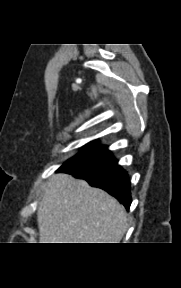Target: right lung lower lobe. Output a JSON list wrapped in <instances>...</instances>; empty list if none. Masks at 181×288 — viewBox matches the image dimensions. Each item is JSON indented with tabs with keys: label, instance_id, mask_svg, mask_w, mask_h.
<instances>
[{
	"label": "right lung lower lobe",
	"instance_id": "right-lung-lower-lobe-1",
	"mask_svg": "<svg viewBox=\"0 0 181 288\" xmlns=\"http://www.w3.org/2000/svg\"><path fill=\"white\" fill-rule=\"evenodd\" d=\"M117 160L88 162L62 167L60 170L76 178L85 179L91 186L101 188L115 197L128 210L132 198L127 172L119 166Z\"/></svg>",
	"mask_w": 181,
	"mask_h": 288
}]
</instances>
